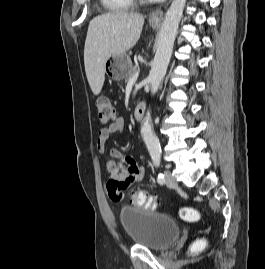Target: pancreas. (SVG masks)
Returning a JSON list of instances; mask_svg holds the SVG:
<instances>
[{
	"label": "pancreas",
	"mask_w": 265,
	"mask_h": 269,
	"mask_svg": "<svg viewBox=\"0 0 265 269\" xmlns=\"http://www.w3.org/2000/svg\"><path fill=\"white\" fill-rule=\"evenodd\" d=\"M137 72H138V68L137 67H134L132 69L131 73L128 75L126 81H129L133 77V75H135Z\"/></svg>",
	"instance_id": "cf45deb5"
}]
</instances>
